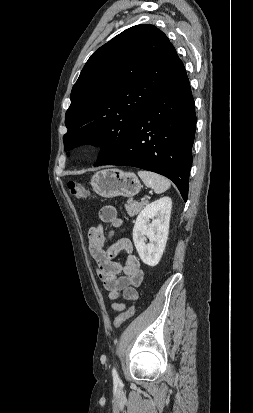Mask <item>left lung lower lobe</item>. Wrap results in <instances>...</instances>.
<instances>
[{"label": "left lung lower lobe", "instance_id": "obj_1", "mask_svg": "<svg viewBox=\"0 0 253 413\" xmlns=\"http://www.w3.org/2000/svg\"><path fill=\"white\" fill-rule=\"evenodd\" d=\"M196 115L189 79L178 58L125 144L102 165L133 166L172 180L188 196Z\"/></svg>", "mask_w": 253, "mask_h": 413}]
</instances>
